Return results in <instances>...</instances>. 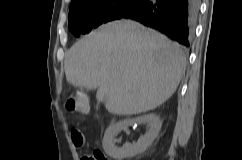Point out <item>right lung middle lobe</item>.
Instances as JSON below:
<instances>
[{
    "label": "right lung middle lobe",
    "instance_id": "dd1d6c3e",
    "mask_svg": "<svg viewBox=\"0 0 242 160\" xmlns=\"http://www.w3.org/2000/svg\"><path fill=\"white\" fill-rule=\"evenodd\" d=\"M143 0H83L70 6L68 27L75 36L91 31L102 23L122 18Z\"/></svg>",
    "mask_w": 242,
    "mask_h": 160
}]
</instances>
